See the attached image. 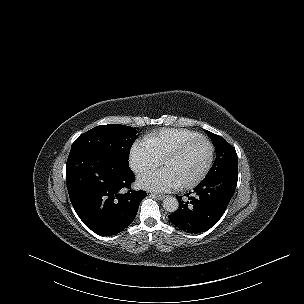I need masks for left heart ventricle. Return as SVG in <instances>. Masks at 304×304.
Instances as JSON below:
<instances>
[{"label": "left heart ventricle", "instance_id": "b2bd125f", "mask_svg": "<svg viewBox=\"0 0 304 304\" xmlns=\"http://www.w3.org/2000/svg\"><path fill=\"white\" fill-rule=\"evenodd\" d=\"M207 145L199 143L179 157L171 166L169 173L179 182L192 179L207 158Z\"/></svg>", "mask_w": 304, "mask_h": 304}]
</instances>
